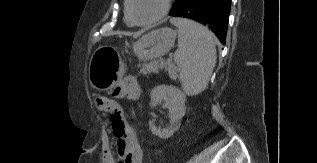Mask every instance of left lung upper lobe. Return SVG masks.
I'll return each mask as SVG.
<instances>
[{
  "label": "left lung upper lobe",
  "mask_w": 317,
  "mask_h": 163,
  "mask_svg": "<svg viewBox=\"0 0 317 163\" xmlns=\"http://www.w3.org/2000/svg\"><path fill=\"white\" fill-rule=\"evenodd\" d=\"M179 1L180 0H175V3H173L172 10L177 7V5L179 4Z\"/></svg>",
  "instance_id": "left-lung-upper-lobe-1"
}]
</instances>
